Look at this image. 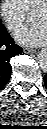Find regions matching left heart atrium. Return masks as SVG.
<instances>
[{
	"label": "left heart atrium",
	"instance_id": "1",
	"mask_svg": "<svg viewBox=\"0 0 47 129\" xmlns=\"http://www.w3.org/2000/svg\"><path fill=\"white\" fill-rule=\"evenodd\" d=\"M15 39L28 46H40L47 40L46 22H33L23 26L15 32Z\"/></svg>",
	"mask_w": 47,
	"mask_h": 129
}]
</instances>
